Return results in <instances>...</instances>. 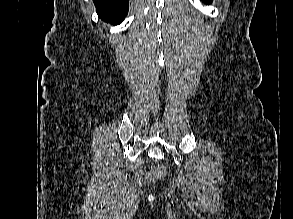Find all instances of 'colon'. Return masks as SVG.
<instances>
[{
  "instance_id": "obj_1",
  "label": "colon",
  "mask_w": 293,
  "mask_h": 219,
  "mask_svg": "<svg viewBox=\"0 0 293 219\" xmlns=\"http://www.w3.org/2000/svg\"><path fill=\"white\" fill-rule=\"evenodd\" d=\"M165 174L166 170L164 167H158L150 171H140L136 175V182L141 185L153 180L161 179Z\"/></svg>"
}]
</instances>
